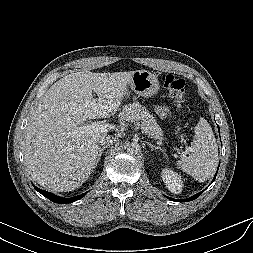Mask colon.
<instances>
[{
  "mask_svg": "<svg viewBox=\"0 0 253 253\" xmlns=\"http://www.w3.org/2000/svg\"><path fill=\"white\" fill-rule=\"evenodd\" d=\"M164 87L178 106H182L186 101L185 82L172 74H164L162 77Z\"/></svg>",
  "mask_w": 253,
  "mask_h": 253,
  "instance_id": "1",
  "label": "colon"
}]
</instances>
